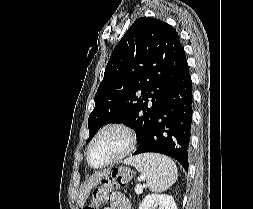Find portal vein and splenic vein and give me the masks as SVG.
Segmentation results:
<instances>
[{
	"label": "portal vein and splenic vein",
	"mask_w": 253,
	"mask_h": 209,
	"mask_svg": "<svg viewBox=\"0 0 253 209\" xmlns=\"http://www.w3.org/2000/svg\"><path fill=\"white\" fill-rule=\"evenodd\" d=\"M135 192L137 194H141L143 192L142 186L138 184L135 188Z\"/></svg>",
	"instance_id": "1"
}]
</instances>
